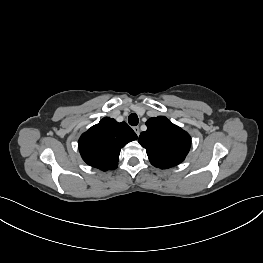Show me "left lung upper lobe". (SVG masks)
Wrapping results in <instances>:
<instances>
[{
  "label": "left lung upper lobe",
  "instance_id": "left-lung-upper-lobe-1",
  "mask_svg": "<svg viewBox=\"0 0 263 263\" xmlns=\"http://www.w3.org/2000/svg\"><path fill=\"white\" fill-rule=\"evenodd\" d=\"M147 130L139 136L151 164L166 169L181 163L189 152L191 138L187 132L164 116L150 118Z\"/></svg>",
  "mask_w": 263,
  "mask_h": 263
}]
</instances>
